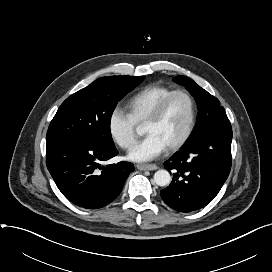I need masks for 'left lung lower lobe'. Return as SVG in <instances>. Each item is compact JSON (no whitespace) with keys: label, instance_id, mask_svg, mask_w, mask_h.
<instances>
[{"label":"left lung lower lobe","instance_id":"1","mask_svg":"<svg viewBox=\"0 0 272 272\" xmlns=\"http://www.w3.org/2000/svg\"><path fill=\"white\" fill-rule=\"evenodd\" d=\"M232 129L205 134L164 163L173 170L171 184L160 192L164 202L180 212L198 210L211 202L231 169Z\"/></svg>","mask_w":272,"mask_h":272}]
</instances>
